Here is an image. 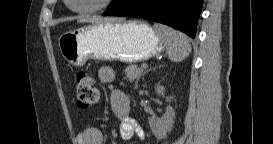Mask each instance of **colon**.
<instances>
[{"label":"colon","instance_id":"5ec220e1","mask_svg":"<svg viewBox=\"0 0 273 144\" xmlns=\"http://www.w3.org/2000/svg\"><path fill=\"white\" fill-rule=\"evenodd\" d=\"M98 99V89L95 79L84 71L76 75V104L79 109L92 107Z\"/></svg>","mask_w":273,"mask_h":144}]
</instances>
